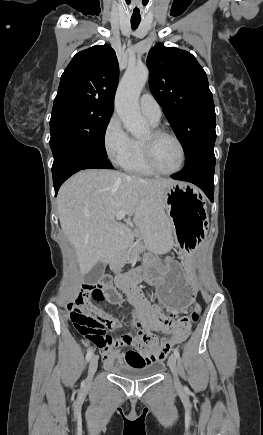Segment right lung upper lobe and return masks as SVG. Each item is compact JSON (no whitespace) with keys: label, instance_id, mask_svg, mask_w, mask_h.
<instances>
[{"label":"right lung upper lobe","instance_id":"obj_1","mask_svg":"<svg viewBox=\"0 0 263 435\" xmlns=\"http://www.w3.org/2000/svg\"><path fill=\"white\" fill-rule=\"evenodd\" d=\"M119 67L110 45L77 53L63 72L53 106L93 103L114 109Z\"/></svg>","mask_w":263,"mask_h":435}]
</instances>
